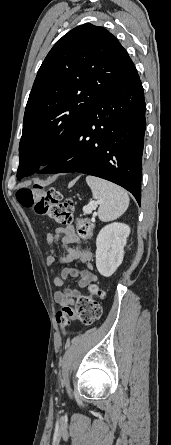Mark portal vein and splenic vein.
<instances>
[{
    "instance_id": "1",
    "label": "portal vein and splenic vein",
    "mask_w": 171,
    "mask_h": 445,
    "mask_svg": "<svg viewBox=\"0 0 171 445\" xmlns=\"http://www.w3.org/2000/svg\"><path fill=\"white\" fill-rule=\"evenodd\" d=\"M98 204H99V202H94V203H92L91 205L85 206V207L83 208V212H84V214H90V213H92L93 209H95L96 206H97Z\"/></svg>"
}]
</instances>
